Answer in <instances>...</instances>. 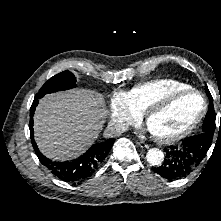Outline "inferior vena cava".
<instances>
[{"instance_id":"602c4592","label":"inferior vena cava","mask_w":221,"mask_h":221,"mask_svg":"<svg viewBox=\"0 0 221 221\" xmlns=\"http://www.w3.org/2000/svg\"><path fill=\"white\" fill-rule=\"evenodd\" d=\"M124 132L123 127L118 125H108L104 131V136L107 138L118 137Z\"/></svg>"}]
</instances>
